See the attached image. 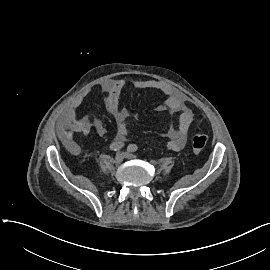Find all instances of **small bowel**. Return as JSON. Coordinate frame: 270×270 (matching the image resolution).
Here are the masks:
<instances>
[{
    "label": "small bowel",
    "instance_id": "small-bowel-1",
    "mask_svg": "<svg viewBox=\"0 0 270 270\" xmlns=\"http://www.w3.org/2000/svg\"><path fill=\"white\" fill-rule=\"evenodd\" d=\"M126 82L122 79L109 80L103 83L102 90L106 94V107L113 115L117 133L116 139L123 141L127 137V120L129 112L120 105V97ZM137 89H155L165 95L162 105L157 110L159 112H180L178 123H170L164 135L167 138V147L175 152L182 150L185 146L188 132L193 121V114L187 106L186 97L179 90L156 80H143L134 84ZM84 94L79 95L66 111L63 120V137L65 140L72 139L76 133L87 135L94 130L98 136L107 135V128L100 120H91L79 115L78 108L81 105Z\"/></svg>",
    "mask_w": 270,
    "mask_h": 270
}]
</instances>
